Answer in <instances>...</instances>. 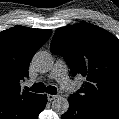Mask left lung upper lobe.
I'll list each match as a JSON object with an SVG mask.
<instances>
[{"label": "left lung upper lobe", "instance_id": "5c2ea615", "mask_svg": "<svg viewBox=\"0 0 119 119\" xmlns=\"http://www.w3.org/2000/svg\"><path fill=\"white\" fill-rule=\"evenodd\" d=\"M51 52L61 55L72 74L86 77L70 97L119 116V40L108 31L88 23L55 31Z\"/></svg>", "mask_w": 119, "mask_h": 119}]
</instances>
